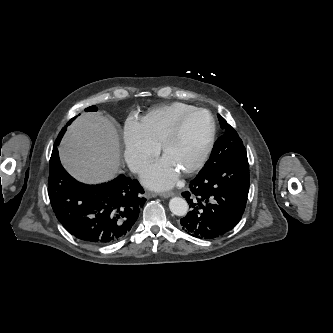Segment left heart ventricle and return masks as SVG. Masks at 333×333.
<instances>
[{
    "instance_id": "obj_1",
    "label": "left heart ventricle",
    "mask_w": 333,
    "mask_h": 333,
    "mask_svg": "<svg viewBox=\"0 0 333 333\" xmlns=\"http://www.w3.org/2000/svg\"><path fill=\"white\" fill-rule=\"evenodd\" d=\"M209 130V116L204 112L193 114L186 120L179 138L168 148L164 157L178 172H182L199 157Z\"/></svg>"
}]
</instances>
